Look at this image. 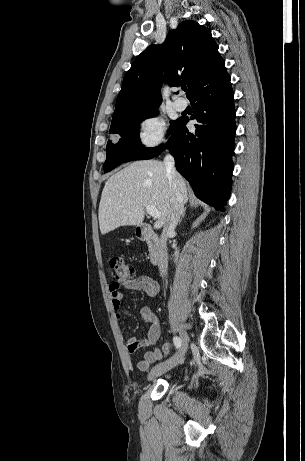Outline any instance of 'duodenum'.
I'll return each instance as SVG.
<instances>
[{"instance_id": "duodenum-1", "label": "duodenum", "mask_w": 305, "mask_h": 461, "mask_svg": "<svg viewBox=\"0 0 305 461\" xmlns=\"http://www.w3.org/2000/svg\"><path fill=\"white\" fill-rule=\"evenodd\" d=\"M138 236L147 244L149 248V263L151 265H157L161 258V246L158 237L148 224L139 226Z\"/></svg>"}]
</instances>
